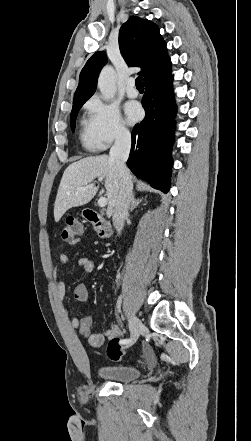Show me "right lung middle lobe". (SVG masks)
<instances>
[{"label": "right lung middle lobe", "mask_w": 251, "mask_h": 441, "mask_svg": "<svg viewBox=\"0 0 251 441\" xmlns=\"http://www.w3.org/2000/svg\"><path fill=\"white\" fill-rule=\"evenodd\" d=\"M86 101H87V99H82V100H78V101H74L73 102V108H72L71 118H70V124H71V129L72 130L75 129V122H76L77 114H78L80 108L82 107V105Z\"/></svg>", "instance_id": "1"}]
</instances>
